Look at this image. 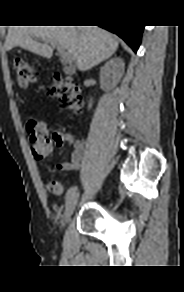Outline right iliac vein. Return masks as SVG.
I'll use <instances>...</instances> for the list:
<instances>
[{"mask_svg": "<svg viewBox=\"0 0 184 292\" xmlns=\"http://www.w3.org/2000/svg\"><path fill=\"white\" fill-rule=\"evenodd\" d=\"M78 197H79V194L75 193L67 200L66 206H65V211H64V217H63V225H64V222L67 221V219L74 212L75 207H76L77 202H78Z\"/></svg>", "mask_w": 184, "mask_h": 292, "instance_id": "right-iliac-vein-1", "label": "right iliac vein"}]
</instances>
